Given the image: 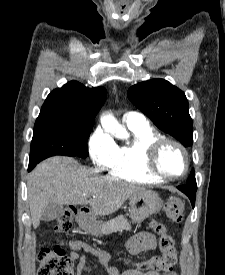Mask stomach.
<instances>
[{"label": "stomach", "mask_w": 225, "mask_h": 275, "mask_svg": "<svg viewBox=\"0 0 225 275\" xmlns=\"http://www.w3.org/2000/svg\"><path fill=\"white\" fill-rule=\"evenodd\" d=\"M129 204L132 222L139 224L160 211L162 200L156 192L147 190L131 196ZM84 228L93 234H99L100 227L97 223L91 222Z\"/></svg>", "instance_id": "0dacf381"}]
</instances>
